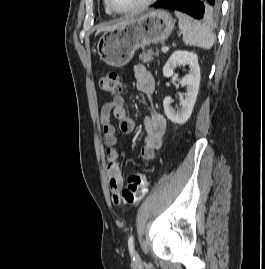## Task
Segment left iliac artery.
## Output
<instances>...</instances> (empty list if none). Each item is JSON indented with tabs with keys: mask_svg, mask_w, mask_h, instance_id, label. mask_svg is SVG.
I'll return each instance as SVG.
<instances>
[{
	"mask_svg": "<svg viewBox=\"0 0 265 269\" xmlns=\"http://www.w3.org/2000/svg\"><path fill=\"white\" fill-rule=\"evenodd\" d=\"M128 248H129L130 253L133 254V250H134V236L133 235H131L128 239Z\"/></svg>",
	"mask_w": 265,
	"mask_h": 269,
	"instance_id": "obj_1",
	"label": "left iliac artery"
}]
</instances>
